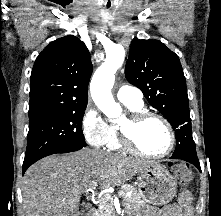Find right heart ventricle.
<instances>
[{"label": "right heart ventricle", "instance_id": "right-heart-ventricle-1", "mask_svg": "<svg viewBox=\"0 0 221 216\" xmlns=\"http://www.w3.org/2000/svg\"><path fill=\"white\" fill-rule=\"evenodd\" d=\"M126 108L130 113H134L145 109L143 102L141 103H124ZM109 133L107 141L105 143L106 147L110 150H121L123 147L121 145L119 135H118V123L112 122L108 124Z\"/></svg>", "mask_w": 221, "mask_h": 216}]
</instances>
